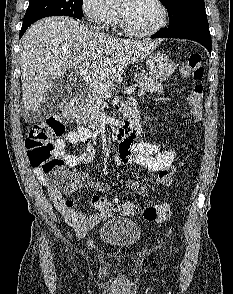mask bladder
Wrapping results in <instances>:
<instances>
[{
    "instance_id": "31cf9c89",
    "label": "bladder",
    "mask_w": 233,
    "mask_h": 294,
    "mask_svg": "<svg viewBox=\"0 0 233 294\" xmlns=\"http://www.w3.org/2000/svg\"><path fill=\"white\" fill-rule=\"evenodd\" d=\"M98 237L106 245L127 249L138 243L141 229L131 218L112 217L99 227Z\"/></svg>"
}]
</instances>
